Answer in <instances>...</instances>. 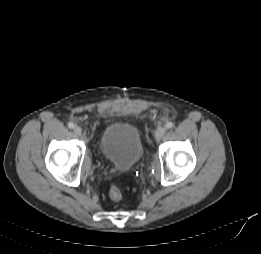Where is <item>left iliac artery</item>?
I'll use <instances>...</instances> for the list:
<instances>
[{"mask_svg": "<svg viewBox=\"0 0 261 254\" xmlns=\"http://www.w3.org/2000/svg\"><path fill=\"white\" fill-rule=\"evenodd\" d=\"M174 126V123L173 122H167L166 123V128H172Z\"/></svg>", "mask_w": 261, "mask_h": 254, "instance_id": "left-iliac-artery-1", "label": "left iliac artery"}]
</instances>
